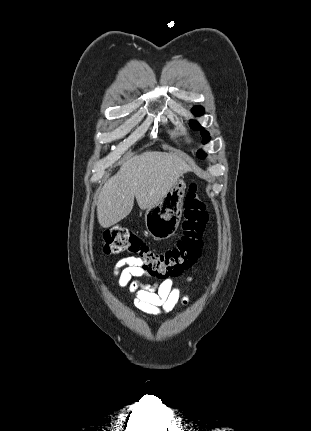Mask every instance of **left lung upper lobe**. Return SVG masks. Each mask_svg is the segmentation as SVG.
I'll return each mask as SVG.
<instances>
[{
	"instance_id": "1",
	"label": "left lung upper lobe",
	"mask_w": 311,
	"mask_h": 431,
	"mask_svg": "<svg viewBox=\"0 0 311 431\" xmlns=\"http://www.w3.org/2000/svg\"><path fill=\"white\" fill-rule=\"evenodd\" d=\"M203 111H204V109L201 106H196L192 109V112L195 115H202ZM190 126L195 130H201V136L203 137V139H202L203 143H207L210 140L209 133L206 130H204V128L201 127L197 121H190ZM197 155L199 158H203L206 156V154L202 151H199Z\"/></svg>"
}]
</instances>
